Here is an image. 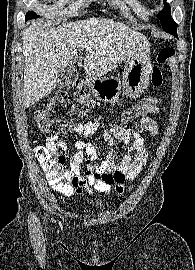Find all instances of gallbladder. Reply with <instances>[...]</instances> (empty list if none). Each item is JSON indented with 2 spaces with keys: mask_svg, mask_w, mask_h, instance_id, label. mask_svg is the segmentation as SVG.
I'll list each match as a JSON object with an SVG mask.
<instances>
[{
  "mask_svg": "<svg viewBox=\"0 0 195 270\" xmlns=\"http://www.w3.org/2000/svg\"><path fill=\"white\" fill-rule=\"evenodd\" d=\"M78 78V71L75 66L61 67L59 69L58 88L70 89Z\"/></svg>",
  "mask_w": 195,
  "mask_h": 270,
  "instance_id": "bac80fb5",
  "label": "gallbladder"
}]
</instances>
